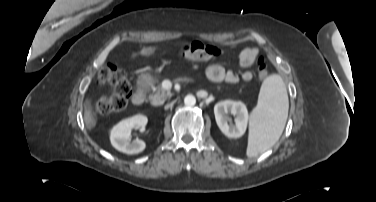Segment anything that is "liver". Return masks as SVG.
Returning a JSON list of instances; mask_svg holds the SVG:
<instances>
[{
	"label": "liver",
	"mask_w": 376,
	"mask_h": 202,
	"mask_svg": "<svg viewBox=\"0 0 376 202\" xmlns=\"http://www.w3.org/2000/svg\"><path fill=\"white\" fill-rule=\"evenodd\" d=\"M156 50L155 47H148V48H143L140 52L139 55L141 56H149L151 55L154 51ZM136 54H133L132 57L134 58ZM87 102L85 104V111H84V122L86 124V127L88 129L93 128L96 125V120L93 117L91 110L87 107Z\"/></svg>",
	"instance_id": "liver-1"
}]
</instances>
